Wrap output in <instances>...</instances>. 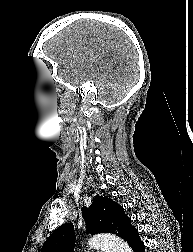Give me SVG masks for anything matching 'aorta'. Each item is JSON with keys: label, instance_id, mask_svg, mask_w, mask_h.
Wrapping results in <instances>:
<instances>
[{"label": "aorta", "instance_id": "762f6f07", "mask_svg": "<svg viewBox=\"0 0 193 252\" xmlns=\"http://www.w3.org/2000/svg\"><path fill=\"white\" fill-rule=\"evenodd\" d=\"M88 245L101 248L104 252H131V248L123 239L110 234L95 235L88 240Z\"/></svg>", "mask_w": 193, "mask_h": 252}]
</instances>
